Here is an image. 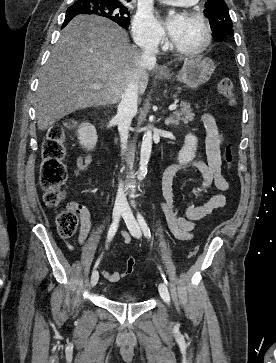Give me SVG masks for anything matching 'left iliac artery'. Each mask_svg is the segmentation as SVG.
<instances>
[{
	"label": "left iliac artery",
	"instance_id": "obj_1",
	"mask_svg": "<svg viewBox=\"0 0 276 363\" xmlns=\"http://www.w3.org/2000/svg\"><path fill=\"white\" fill-rule=\"evenodd\" d=\"M137 220H138V222H139V225H140V227H141V229H142V231H143L144 235H145L147 238H150V237H151L150 229H149V227H148V225H147V223H146V221H145L144 217H143L140 213H138V214H137ZM162 277H163V279H164V282L167 284V280H166V278H165V276H164L163 274H162Z\"/></svg>",
	"mask_w": 276,
	"mask_h": 363
}]
</instances>
